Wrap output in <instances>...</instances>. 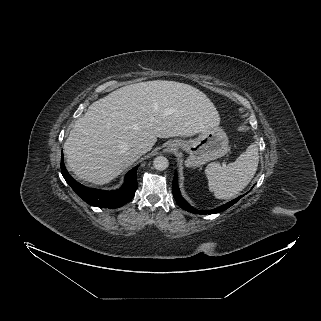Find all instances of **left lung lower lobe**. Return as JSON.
I'll return each instance as SVG.
<instances>
[{
	"instance_id": "obj_1",
	"label": "left lung lower lobe",
	"mask_w": 321,
	"mask_h": 321,
	"mask_svg": "<svg viewBox=\"0 0 321 321\" xmlns=\"http://www.w3.org/2000/svg\"><path fill=\"white\" fill-rule=\"evenodd\" d=\"M172 188H173V196L176 200V202L178 203V205L188 211V212H192V213H196V214H201V215H204V214H214V213H219V212H222L226 209H228L229 207H231L233 204H235L239 199H241L243 197L242 196H239L237 198H235L234 200L224 204V205H221L215 209H212V210H207V211H203V210H197L195 208H193L191 205L188 204V202L181 196L180 194V191H179V187H178V184H177V174H175L174 176V179H173V182H172Z\"/></svg>"
}]
</instances>
